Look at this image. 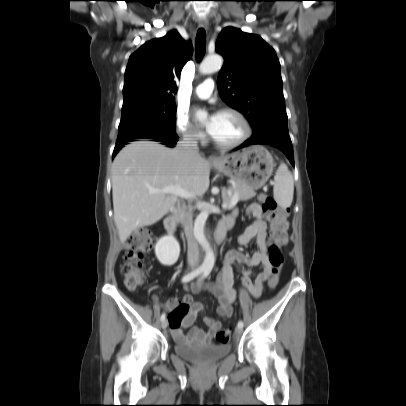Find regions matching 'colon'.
<instances>
[{"mask_svg":"<svg viewBox=\"0 0 406 406\" xmlns=\"http://www.w3.org/2000/svg\"><path fill=\"white\" fill-rule=\"evenodd\" d=\"M267 220L272 226L270 233L269 262L272 265V275L268 281L270 289H274L279 282L280 271L283 265L282 247L288 241V212L277 206L273 197L267 194H260L258 197ZM126 250L120 265V273L126 288L133 290L143 284L148 276L147 269L143 263V256L152 248V239L145 229H139L131 233L126 242ZM187 314V309L178 307L169 316L173 327H177L179 320ZM231 336V329L225 328L217 332L216 340L219 343H226Z\"/></svg>","mask_w":406,"mask_h":406,"instance_id":"5ec220e1","label":"colon"}]
</instances>
